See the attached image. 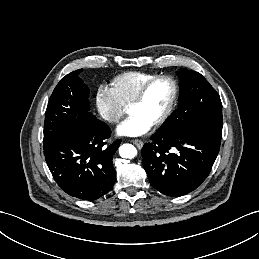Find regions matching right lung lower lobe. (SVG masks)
<instances>
[{
	"label": "right lung lower lobe",
	"mask_w": 259,
	"mask_h": 259,
	"mask_svg": "<svg viewBox=\"0 0 259 259\" xmlns=\"http://www.w3.org/2000/svg\"><path fill=\"white\" fill-rule=\"evenodd\" d=\"M110 134L107 124L97 120L86 128L60 127L44 140L46 163L67 194L92 201L111 190L116 178L112 157L121 140L107 144Z\"/></svg>",
	"instance_id": "98d812e1"
}]
</instances>
